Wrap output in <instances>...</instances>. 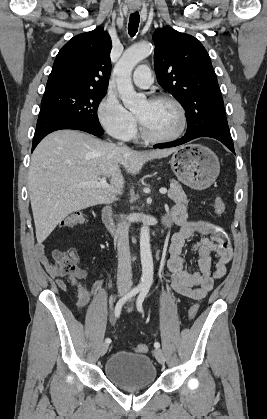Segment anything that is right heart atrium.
<instances>
[{
	"label": "right heart atrium",
	"instance_id": "right-heart-atrium-1",
	"mask_svg": "<svg viewBox=\"0 0 267 419\" xmlns=\"http://www.w3.org/2000/svg\"><path fill=\"white\" fill-rule=\"evenodd\" d=\"M98 120L103 129L118 139H130L136 131L134 116L113 95H106L97 109Z\"/></svg>",
	"mask_w": 267,
	"mask_h": 419
}]
</instances>
